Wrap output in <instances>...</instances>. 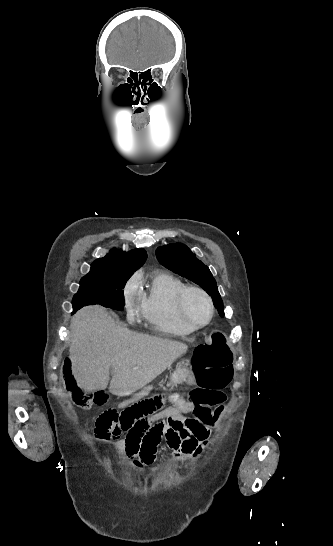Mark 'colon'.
Wrapping results in <instances>:
<instances>
[{
  "label": "colon",
  "instance_id": "1",
  "mask_svg": "<svg viewBox=\"0 0 333 546\" xmlns=\"http://www.w3.org/2000/svg\"><path fill=\"white\" fill-rule=\"evenodd\" d=\"M195 379L200 389L194 390L190 398L193 402L208 401L201 393L209 390L225 388L233 376L232 351L223 334L215 333L211 339L196 347L193 357ZM66 383L72 399L76 405L88 409L93 404L101 405L106 401V395L101 392L88 393L79 390L73 375V361L67 358L64 363ZM170 399L178 405L183 402L176 396L168 397L165 394L139 396L137 400H128L122 411L108 409L96 421L95 434L98 440L110 442L127 435L129 418H136L142 422L151 418ZM157 438L161 431L156 429Z\"/></svg>",
  "mask_w": 333,
  "mask_h": 546
}]
</instances>
